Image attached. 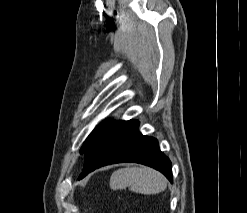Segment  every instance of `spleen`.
Wrapping results in <instances>:
<instances>
[{
	"instance_id": "obj_1",
	"label": "spleen",
	"mask_w": 247,
	"mask_h": 213,
	"mask_svg": "<svg viewBox=\"0 0 247 213\" xmlns=\"http://www.w3.org/2000/svg\"><path fill=\"white\" fill-rule=\"evenodd\" d=\"M113 190L129 188L140 194H157L167 187L166 178L148 167L121 168L113 172L110 178Z\"/></svg>"
}]
</instances>
